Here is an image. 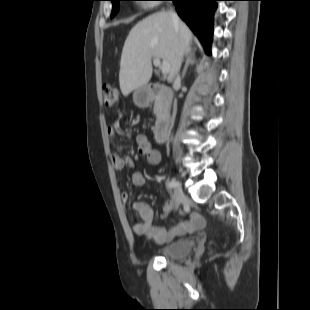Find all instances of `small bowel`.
I'll use <instances>...</instances> for the list:
<instances>
[{
	"mask_svg": "<svg viewBox=\"0 0 310 310\" xmlns=\"http://www.w3.org/2000/svg\"><path fill=\"white\" fill-rule=\"evenodd\" d=\"M108 137L111 141L115 140L118 131L114 126H109L107 129ZM135 145L138 153L146 157L149 164L158 165L162 161L160 152L155 149L148 138L140 134L135 138ZM111 161L113 168L116 171H121L126 167H133L134 162L129 156L120 155L116 150L111 154ZM132 184L135 186H142L146 183L147 178L140 172H135L131 176ZM122 201L127 203L130 200V196L127 192L121 194ZM176 206L175 201L168 200L164 205V213L170 212ZM131 209L138 218V221L133 225V231L136 235L145 236L155 243H166L173 239L183 235L194 233L204 226V217L195 212L188 220L181 221L177 224L170 226L169 228L153 226V210L144 202H133Z\"/></svg>",
	"mask_w": 310,
	"mask_h": 310,
	"instance_id": "small-bowel-1",
	"label": "small bowel"
}]
</instances>
